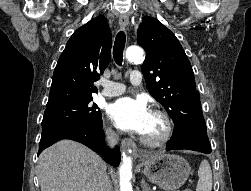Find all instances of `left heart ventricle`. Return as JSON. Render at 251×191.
Returning a JSON list of instances; mask_svg holds the SVG:
<instances>
[{
	"label": "left heart ventricle",
	"mask_w": 251,
	"mask_h": 191,
	"mask_svg": "<svg viewBox=\"0 0 251 191\" xmlns=\"http://www.w3.org/2000/svg\"><path fill=\"white\" fill-rule=\"evenodd\" d=\"M161 132L162 123L158 119L151 116L143 134L150 138H157Z\"/></svg>",
	"instance_id": "left-heart-ventricle-1"
}]
</instances>
